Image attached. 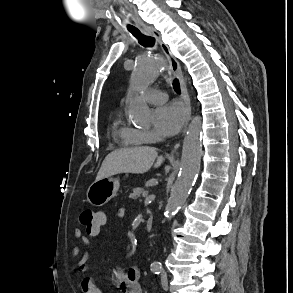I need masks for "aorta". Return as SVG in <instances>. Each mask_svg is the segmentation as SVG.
<instances>
[{
	"label": "aorta",
	"mask_w": 293,
	"mask_h": 293,
	"mask_svg": "<svg viewBox=\"0 0 293 293\" xmlns=\"http://www.w3.org/2000/svg\"><path fill=\"white\" fill-rule=\"evenodd\" d=\"M165 69L160 55L147 54L140 56L131 75L132 95L127 101V112L130 118L138 125L147 126L151 123L152 113L141 100L140 93ZM202 121L196 116L190 123L183 141L180 171L174 183L165 207V218L170 220L186 201L196 180L200 168L202 154ZM160 262H154L152 267L159 269Z\"/></svg>",
	"instance_id": "obj_1"
}]
</instances>
